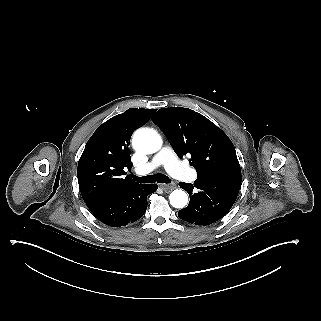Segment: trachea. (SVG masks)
Instances as JSON below:
<instances>
[{"instance_id": "1", "label": "trachea", "mask_w": 321, "mask_h": 321, "mask_svg": "<svg viewBox=\"0 0 321 321\" xmlns=\"http://www.w3.org/2000/svg\"><path fill=\"white\" fill-rule=\"evenodd\" d=\"M139 183H170L171 180L169 177L165 176L164 174H155V175H148L143 177L132 176Z\"/></svg>"}]
</instances>
